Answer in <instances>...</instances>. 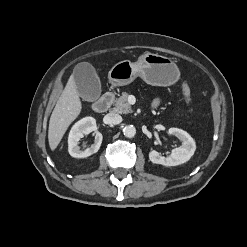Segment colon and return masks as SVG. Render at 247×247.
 I'll list each match as a JSON object with an SVG mask.
<instances>
[{"label":"colon","mask_w":247,"mask_h":247,"mask_svg":"<svg viewBox=\"0 0 247 247\" xmlns=\"http://www.w3.org/2000/svg\"><path fill=\"white\" fill-rule=\"evenodd\" d=\"M182 90H183L186 101L189 102L190 101V88L186 83L183 84Z\"/></svg>","instance_id":"1"}]
</instances>
